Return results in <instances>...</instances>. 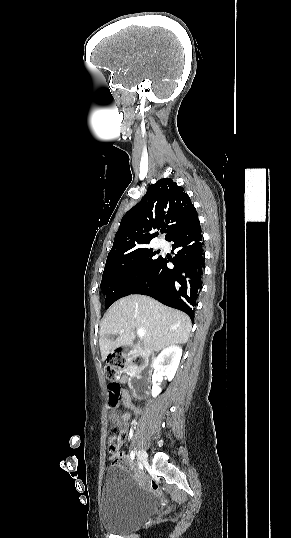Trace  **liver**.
Here are the masks:
<instances>
[{"label":"liver","instance_id":"obj_1","mask_svg":"<svg viewBox=\"0 0 291 538\" xmlns=\"http://www.w3.org/2000/svg\"><path fill=\"white\" fill-rule=\"evenodd\" d=\"M144 329L143 345L148 351L185 344L192 324L188 315L143 295H129L116 301L100 325L99 346L102 360L115 349L130 346L135 330ZM124 329L123 333L120 330ZM119 336L112 340L111 335Z\"/></svg>","mask_w":291,"mask_h":538}]
</instances>
